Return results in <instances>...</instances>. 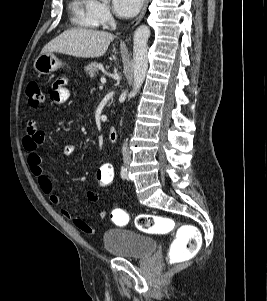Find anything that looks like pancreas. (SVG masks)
<instances>
[{
    "label": "pancreas",
    "mask_w": 267,
    "mask_h": 301,
    "mask_svg": "<svg viewBox=\"0 0 267 301\" xmlns=\"http://www.w3.org/2000/svg\"><path fill=\"white\" fill-rule=\"evenodd\" d=\"M100 68H101V64L97 62H92L91 64L87 65L84 68V71L86 72L87 75H89L91 79H93L98 75Z\"/></svg>",
    "instance_id": "cf45deb5"
}]
</instances>
